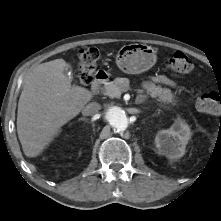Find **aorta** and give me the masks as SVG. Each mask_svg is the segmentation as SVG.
<instances>
[{
  "label": "aorta",
  "instance_id": "obj_1",
  "mask_svg": "<svg viewBox=\"0 0 221 221\" xmlns=\"http://www.w3.org/2000/svg\"><path fill=\"white\" fill-rule=\"evenodd\" d=\"M106 120L117 131H125L128 127V117L125 111L118 107H110L106 112Z\"/></svg>",
  "mask_w": 221,
  "mask_h": 221
}]
</instances>
